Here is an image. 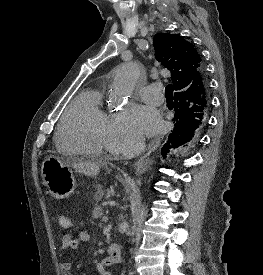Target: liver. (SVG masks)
Listing matches in <instances>:
<instances>
[{"mask_svg": "<svg viewBox=\"0 0 263 275\" xmlns=\"http://www.w3.org/2000/svg\"><path fill=\"white\" fill-rule=\"evenodd\" d=\"M66 165L74 168L78 173L96 177L100 171V164L92 161L66 162Z\"/></svg>", "mask_w": 263, "mask_h": 275, "instance_id": "1", "label": "liver"}]
</instances>
